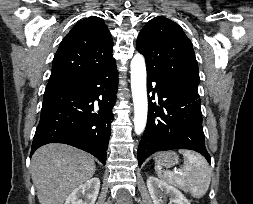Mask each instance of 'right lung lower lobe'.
Listing matches in <instances>:
<instances>
[{"label":"right lung lower lobe","mask_w":253,"mask_h":204,"mask_svg":"<svg viewBox=\"0 0 253 204\" xmlns=\"http://www.w3.org/2000/svg\"><path fill=\"white\" fill-rule=\"evenodd\" d=\"M117 84L115 64L46 91L31 155L42 145L65 143L91 153L105 165Z\"/></svg>","instance_id":"right-lung-lower-lobe-1"}]
</instances>
